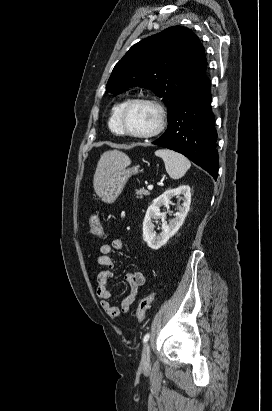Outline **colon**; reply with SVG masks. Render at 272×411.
I'll use <instances>...</instances> for the list:
<instances>
[{
	"label": "colon",
	"instance_id": "5ec220e1",
	"mask_svg": "<svg viewBox=\"0 0 272 411\" xmlns=\"http://www.w3.org/2000/svg\"><path fill=\"white\" fill-rule=\"evenodd\" d=\"M103 233V227L98 214H93L90 218L89 222V234L93 238L101 237ZM156 294L152 293L150 295L145 296L142 298L137 306L136 309V318L139 322H142L145 318L146 312L150 308L151 304L155 299Z\"/></svg>",
	"mask_w": 272,
	"mask_h": 411
}]
</instances>
